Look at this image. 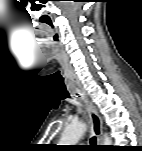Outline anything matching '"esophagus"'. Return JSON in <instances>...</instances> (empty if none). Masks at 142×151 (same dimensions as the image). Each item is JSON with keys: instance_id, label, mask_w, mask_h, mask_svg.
I'll list each match as a JSON object with an SVG mask.
<instances>
[{"instance_id": "esophagus-1", "label": "esophagus", "mask_w": 142, "mask_h": 151, "mask_svg": "<svg viewBox=\"0 0 142 151\" xmlns=\"http://www.w3.org/2000/svg\"><path fill=\"white\" fill-rule=\"evenodd\" d=\"M76 92L81 96V98L83 99V101L85 102L86 106H87V110L91 119V124H92V132L93 134L97 137V142L98 144L102 143V120L101 117L99 116L96 108L94 105H92L84 91L81 89V87H76Z\"/></svg>"}]
</instances>
